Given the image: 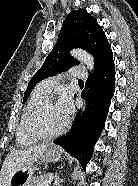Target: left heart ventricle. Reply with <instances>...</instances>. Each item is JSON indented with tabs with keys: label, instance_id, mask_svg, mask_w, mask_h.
<instances>
[{
	"label": "left heart ventricle",
	"instance_id": "left-heart-ventricle-1",
	"mask_svg": "<svg viewBox=\"0 0 138 186\" xmlns=\"http://www.w3.org/2000/svg\"><path fill=\"white\" fill-rule=\"evenodd\" d=\"M66 122L58 103L47 105L33 119L32 127L41 134H51L60 130Z\"/></svg>",
	"mask_w": 138,
	"mask_h": 186
}]
</instances>
